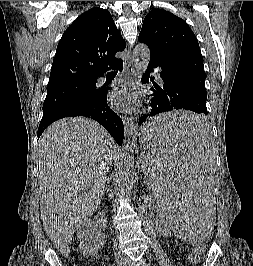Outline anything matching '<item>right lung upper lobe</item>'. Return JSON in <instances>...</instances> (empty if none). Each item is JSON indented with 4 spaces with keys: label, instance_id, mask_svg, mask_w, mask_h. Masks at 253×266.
Returning a JSON list of instances; mask_svg holds the SVG:
<instances>
[{
    "label": "right lung upper lobe",
    "instance_id": "1",
    "mask_svg": "<svg viewBox=\"0 0 253 266\" xmlns=\"http://www.w3.org/2000/svg\"><path fill=\"white\" fill-rule=\"evenodd\" d=\"M126 47L110 13L93 8L81 14L64 32L53 60L48 87L97 80L122 62L115 57Z\"/></svg>",
    "mask_w": 253,
    "mask_h": 266
}]
</instances>
